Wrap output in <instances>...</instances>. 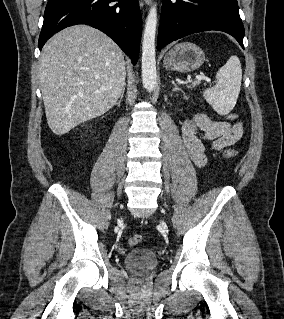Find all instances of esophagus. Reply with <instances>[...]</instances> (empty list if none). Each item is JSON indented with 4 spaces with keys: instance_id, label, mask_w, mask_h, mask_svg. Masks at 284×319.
I'll return each instance as SVG.
<instances>
[{
    "instance_id": "1",
    "label": "esophagus",
    "mask_w": 284,
    "mask_h": 319,
    "mask_svg": "<svg viewBox=\"0 0 284 319\" xmlns=\"http://www.w3.org/2000/svg\"><path fill=\"white\" fill-rule=\"evenodd\" d=\"M145 2L146 5H150L151 0H143Z\"/></svg>"
}]
</instances>
